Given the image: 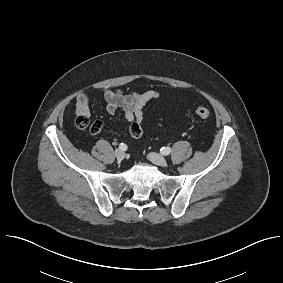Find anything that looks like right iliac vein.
<instances>
[{
	"instance_id": "1",
	"label": "right iliac vein",
	"mask_w": 283,
	"mask_h": 283,
	"mask_svg": "<svg viewBox=\"0 0 283 283\" xmlns=\"http://www.w3.org/2000/svg\"><path fill=\"white\" fill-rule=\"evenodd\" d=\"M115 157H116L118 160H123L124 157H125L124 151H122L121 149H117V150L115 151Z\"/></svg>"
}]
</instances>
